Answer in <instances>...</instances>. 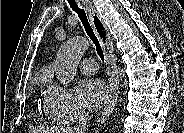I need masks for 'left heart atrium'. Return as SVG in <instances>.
<instances>
[{
	"label": "left heart atrium",
	"instance_id": "left-heart-atrium-1",
	"mask_svg": "<svg viewBox=\"0 0 184 133\" xmlns=\"http://www.w3.org/2000/svg\"><path fill=\"white\" fill-rule=\"evenodd\" d=\"M106 85L99 79H85L77 87L79 103L88 109H98L107 100Z\"/></svg>",
	"mask_w": 184,
	"mask_h": 133
}]
</instances>
